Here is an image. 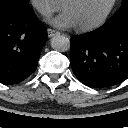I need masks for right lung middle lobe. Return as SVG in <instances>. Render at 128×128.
<instances>
[{
    "label": "right lung middle lobe",
    "mask_w": 128,
    "mask_h": 128,
    "mask_svg": "<svg viewBox=\"0 0 128 128\" xmlns=\"http://www.w3.org/2000/svg\"><path fill=\"white\" fill-rule=\"evenodd\" d=\"M30 0H0V7L15 6L20 8H30Z\"/></svg>",
    "instance_id": "obj_1"
}]
</instances>
